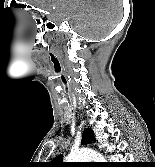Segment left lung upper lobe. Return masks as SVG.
Masks as SVG:
<instances>
[{
    "instance_id": "obj_1",
    "label": "left lung upper lobe",
    "mask_w": 155,
    "mask_h": 167,
    "mask_svg": "<svg viewBox=\"0 0 155 167\" xmlns=\"http://www.w3.org/2000/svg\"><path fill=\"white\" fill-rule=\"evenodd\" d=\"M94 133L91 129H85L83 136H82V144H87L90 143L92 141H94ZM49 167H68L69 164L68 163H64L62 162V156L59 155L57 157H55L50 163H48Z\"/></svg>"
}]
</instances>
